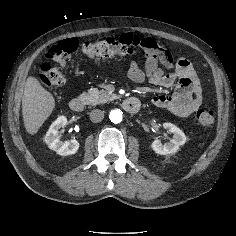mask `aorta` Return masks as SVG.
<instances>
[{"mask_svg":"<svg viewBox=\"0 0 236 236\" xmlns=\"http://www.w3.org/2000/svg\"><path fill=\"white\" fill-rule=\"evenodd\" d=\"M109 118L111 122L117 124L122 121V112L120 110H112L110 112Z\"/></svg>","mask_w":236,"mask_h":236,"instance_id":"obj_1","label":"aorta"}]
</instances>
